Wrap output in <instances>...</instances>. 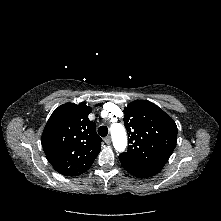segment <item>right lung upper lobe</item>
<instances>
[{
	"label": "right lung upper lobe",
	"mask_w": 221,
	"mask_h": 221,
	"mask_svg": "<svg viewBox=\"0 0 221 221\" xmlns=\"http://www.w3.org/2000/svg\"><path fill=\"white\" fill-rule=\"evenodd\" d=\"M92 109L85 103H66L49 118L41 143L54 169L64 176L86 172L101 150L96 124L88 119Z\"/></svg>",
	"instance_id": "1"
}]
</instances>
